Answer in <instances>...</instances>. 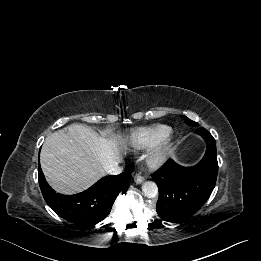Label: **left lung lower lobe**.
I'll return each mask as SVG.
<instances>
[{"label":"left lung lower lobe","instance_id":"obj_1","mask_svg":"<svg viewBox=\"0 0 261 261\" xmlns=\"http://www.w3.org/2000/svg\"><path fill=\"white\" fill-rule=\"evenodd\" d=\"M195 132L207 143L203 159L192 167L180 166L169 159L152 175L159 189L156 211L161 219L169 222L195 214L215 187L218 173L215 139L203 127Z\"/></svg>","mask_w":261,"mask_h":261}]
</instances>
